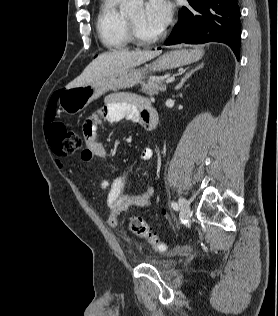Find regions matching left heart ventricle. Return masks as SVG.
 Here are the masks:
<instances>
[{
	"mask_svg": "<svg viewBox=\"0 0 278 316\" xmlns=\"http://www.w3.org/2000/svg\"><path fill=\"white\" fill-rule=\"evenodd\" d=\"M137 26L139 32L145 37H152L160 32V30L150 26L145 19V9L140 7L128 16Z\"/></svg>",
	"mask_w": 278,
	"mask_h": 316,
	"instance_id": "obj_1",
	"label": "left heart ventricle"
}]
</instances>
